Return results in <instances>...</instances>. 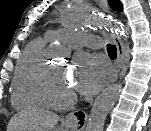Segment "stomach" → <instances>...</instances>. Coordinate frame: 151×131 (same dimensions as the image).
<instances>
[{"label": "stomach", "mask_w": 151, "mask_h": 131, "mask_svg": "<svg viewBox=\"0 0 151 131\" xmlns=\"http://www.w3.org/2000/svg\"><path fill=\"white\" fill-rule=\"evenodd\" d=\"M64 128H65V129H68V130H71V131L75 130V127H74L73 125L64 124V125L60 126L59 128H57L56 131H61V130H63Z\"/></svg>", "instance_id": "obj_1"}]
</instances>
